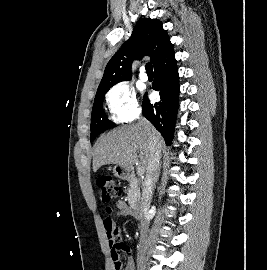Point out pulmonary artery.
I'll list each match as a JSON object with an SVG mask.
<instances>
[{
	"label": "pulmonary artery",
	"instance_id": "1",
	"mask_svg": "<svg viewBox=\"0 0 267 270\" xmlns=\"http://www.w3.org/2000/svg\"><path fill=\"white\" fill-rule=\"evenodd\" d=\"M139 77H140V79H141L142 81H147V80H148V76H147V74L145 73L144 67H142V68L140 69Z\"/></svg>",
	"mask_w": 267,
	"mask_h": 270
}]
</instances>
